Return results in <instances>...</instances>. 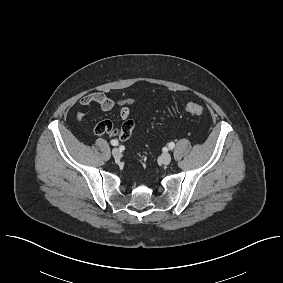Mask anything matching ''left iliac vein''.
Segmentation results:
<instances>
[{
    "label": "left iliac vein",
    "instance_id": "obj_1",
    "mask_svg": "<svg viewBox=\"0 0 283 283\" xmlns=\"http://www.w3.org/2000/svg\"><path fill=\"white\" fill-rule=\"evenodd\" d=\"M171 154L170 153H164L161 155L160 160L164 165H168L171 162Z\"/></svg>",
    "mask_w": 283,
    "mask_h": 283
}]
</instances>
